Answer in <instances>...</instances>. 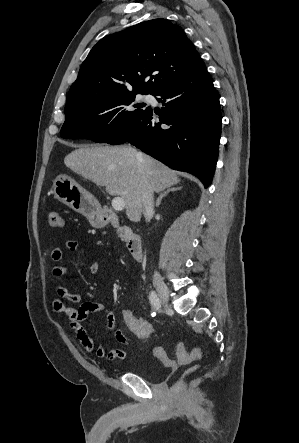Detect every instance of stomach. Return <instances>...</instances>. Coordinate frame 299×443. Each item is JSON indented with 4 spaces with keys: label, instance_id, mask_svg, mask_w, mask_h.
<instances>
[{
    "label": "stomach",
    "instance_id": "stomach-1",
    "mask_svg": "<svg viewBox=\"0 0 299 443\" xmlns=\"http://www.w3.org/2000/svg\"><path fill=\"white\" fill-rule=\"evenodd\" d=\"M54 196L74 211L85 215L92 226L106 225L96 199L75 180L67 175H58L53 181Z\"/></svg>",
    "mask_w": 299,
    "mask_h": 443
}]
</instances>
